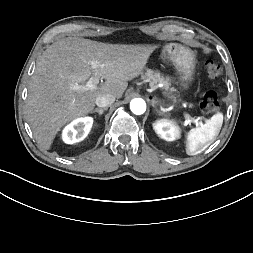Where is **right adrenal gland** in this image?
<instances>
[{"instance_id": "2a0ac1e0", "label": "right adrenal gland", "mask_w": 253, "mask_h": 253, "mask_svg": "<svg viewBox=\"0 0 253 253\" xmlns=\"http://www.w3.org/2000/svg\"><path fill=\"white\" fill-rule=\"evenodd\" d=\"M107 108H96L95 110L92 111V113H98L100 116L103 114L104 111H106Z\"/></svg>"}]
</instances>
